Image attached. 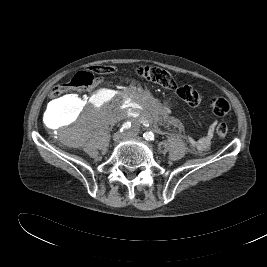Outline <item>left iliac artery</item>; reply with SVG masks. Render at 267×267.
<instances>
[{"label":"left iliac artery","instance_id":"left-iliac-artery-1","mask_svg":"<svg viewBox=\"0 0 267 267\" xmlns=\"http://www.w3.org/2000/svg\"><path fill=\"white\" fill-rule=\"evenodd\" d=\"M143 137L147 140V141H154L155 140V135L152 132H145L143 134Z\"/></svg>","mask_w":267,"mask_h":267}]
</instances>
